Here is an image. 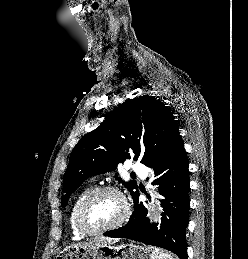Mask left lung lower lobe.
I'll return each mask as SVG.
<instances>
[{"label":"left lung lower lobe","instance_id":"0a47b994","mask_svg":"<svg viewBox=\"0 0 248 259\" xmlns=\"http://www.w3.org/2000/svg\"><path fill=\"white\" fill-rule=\"evenodd\" d=\"M155 176H159L152 184L160 185V194L164 197L160 229L151 225L146 218L147 210L139 203L137 191L134 199L135 211L129 222L116 230L105 233V236L128 238L148 245L167 249L180 259H187L185 231L188 225L190 190L188 159L179 141L170 150L162 154L150 167Z\"/></svg>","mask_w":248,"mask_h":259}]
</instances>
